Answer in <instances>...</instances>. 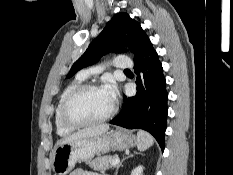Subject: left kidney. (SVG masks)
<instances>
[{"mask_svg": "<svg viewBox=\"0 0 233 175\" xmlns=\"http://www.w3.org/2000/svg\"><path fill=\"white\" fill-rule=\"evenodd\" d=\"M142 173H143V166H138L131 172V175H143Z\"/></svg>", "mask_w": 233, "mask_h": 175, "instance_id": "5707ae66", "label": "left kidney"}]
</instances>
